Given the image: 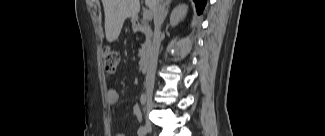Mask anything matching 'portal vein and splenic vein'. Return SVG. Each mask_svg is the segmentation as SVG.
Wrapping results in <instances>:
<instances>
[{"mask_svg":"<svg viewBox=\"0 0 325 136\" xmlns=\"http://www.w3.org/2000/svg\"><path fill=\"white\" fill-rule=\"evenodd\" d=\"M143 19L149 21L152 19V13L149 10H144Z\"/></svg>","mask_w":325,"mask_h":136,"instance_id":"portal-vein-and-splenic-vein-1","label":"portal vein and splenic vein"}]
</instances>
